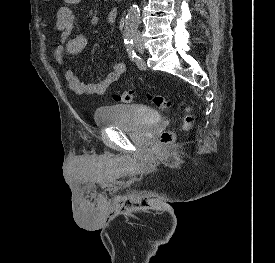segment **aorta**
I'll use <instances>...</instances> for the list:
<instances>
[{
	"mask_svg": "<svg viewBox=\"0 0 275 263\" xmlns=\"http://www.w3.org/2000/svg\"><path fill=\"white\" fill-rule=\"evenodd\" d=\"M140 10L137 4H132L126 16L125 25L129 28H136L139 24Z\"/></svg>",
	"mask_w": 275,
	"mask_h": 263,
	"instance_id": "762f6f07",
	"label": "aorta"
}]
</instances>
